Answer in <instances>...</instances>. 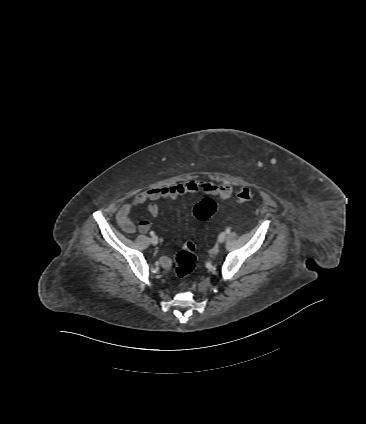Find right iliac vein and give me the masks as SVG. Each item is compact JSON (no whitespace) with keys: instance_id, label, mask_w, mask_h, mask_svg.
<instances>
[{"instance_id":"obj_1","label":"right iliac vein","mask_w":366,"mask_h":424,"mask_svg":"<svg viewBox=\"0 0 366 424\" xmlns=\"http://www.w3.org/2000/svg\"><path fill=\"white\" fill-rule=\"evenodd\" d=\"M151 243H152L153 245H157V244H158V237H157V236H153V237L151 238Z\"/></svg>"}]
</instances>
